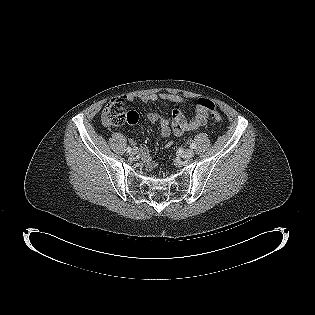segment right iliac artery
I'll return each instance as SVG.
<instances>
[{
	"instance_id": "82829eb1",
	"label": "right iliac artery",
	"mask_w": 315,
	"mask_h": 315,
	"mask_svg": "<svg viewBox=\"0 0 315 315\" xmlns=\"http://www.w3.org/2000/svg\"><path fill=\"white\" fill-rule=\"evenodd\" d=\"M127 153H130L132 151L131 147H127L125 150Z\"/></svg>"
}]
</instances>
